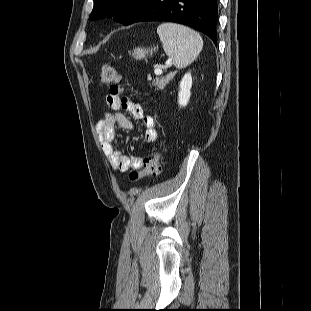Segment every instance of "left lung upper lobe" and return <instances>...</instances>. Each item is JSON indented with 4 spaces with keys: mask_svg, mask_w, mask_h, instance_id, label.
<instances>
[{
    "mask_svg": "<svg viewBox=\"0 0 311 311\" xmlns=\"http://www.w3.org/2000/svg\"><path fill=\"white\" fill-rule=\"evenodd\" d=\"M139 0H94V7L89 19L96 20L105 16L114 17L121 22L124 16L138 3Z\"/></svg>",
    "mask_w": 311,
    "mask_h": 311,
    "instance_id": "obj_1",
    "label": "left lung upper lobe"
}]
</instances>
